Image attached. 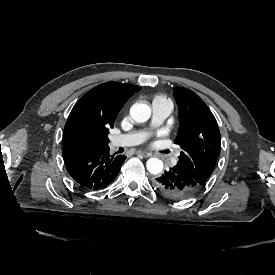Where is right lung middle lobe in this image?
<instances>
[{
  "instance_id": "dd1d6c3e",
  "label": "right lung middle lobe",
  "mask_w": 275,
  "mask_h": 275,
  "mask_svg": "<svg viewBox=\"0 0 275 275\" xmlns=\"http://www.w3.org/2000/svg\"><path fill=\"white\" fill-rule=\"evenodd\" d=\"M108 128L107 124L83 127L77 131L74 143L75 145L107 146L109 143Z\"/></svg>"
}]
</instances>
